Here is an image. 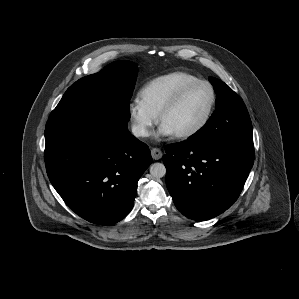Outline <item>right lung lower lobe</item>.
I'll list each match as a JSON object with an SVG mask.
<instances>
[{"label":"right lung lower lobe","mask_w":299,"mask_h":299,"mask_svg":"<svg viewBox=\"0 0 299 299\" xmlns=\"http://www.w3.org/2000/svg\"><path fill=\"white\" fill-rule=\"evenodd\" d=\"M111 111L48 120L45 165L64 202L85 220L110 225L132 209L137 182L152 162L148 146Z\"/></svg>","instance_id":"right-lung-lower-lobe-1"}]
</instances>
